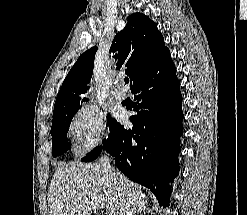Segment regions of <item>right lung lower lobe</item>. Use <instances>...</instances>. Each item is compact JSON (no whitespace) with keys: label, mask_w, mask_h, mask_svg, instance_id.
<instances>
[{"label":"right lung lower lobe","mask_w":247,"mask_h":215,"mask_svg":"<svg viewBox=\"0 0 247 215\" xmlns=\"http://www.w3.org/2000/svg\"><path fill=\"white\" fill-rule=\"evenodd\" d=\"M131 92L139 103L138 114L130 117L132 129L113 119L103 147L121 172L149 188L161 205L169 206L168 182L179 172L177 155L183 134L182 95L169 50L133 83ZM101 151L96 147L81 161L90 162Z\"/></svg>","instance_id":"98d812e1"}]
</instances>
